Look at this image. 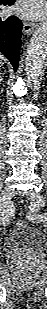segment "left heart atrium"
<instances>
[{"label":"left heart atrium","mask_w":47,"mask_h":309,"mask_svg":"<svg viewBox=\"0 0 47 309\" xmlns=\"http://www.w3.org/2000/svg\"><path fill=\"white\" fill-rule=\"evenodd\" d=\"M16 11L26 18H42L45 13L44 0H20L16 6Z\"/></svg>","instance_id":"left-heart-atrium-1"}]
</instances>
